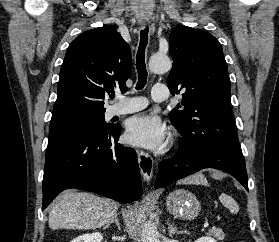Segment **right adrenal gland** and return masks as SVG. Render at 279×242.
<instances>
[{
	"instance_id": "obj_1",
	"label": "right adrenal gland",
	"mask_w": 279,
	"mask_h": 242,
	"mask_svg": "<svg viewBox=\"0 0 279 242\" xmlns=\"http://www.w3.org/2000/svg\"><path fill=\"white\" fill-rule=\"evenodd\" d=\"M112 223H115V224H116L118 230L121 229V228H120L119 219H118V213H116V214L114 215V217L111 219V221H109L108 223H106V225L103 227V229H106V228L110 227V225H111Z\"/></svg>"
}]
</instances>
